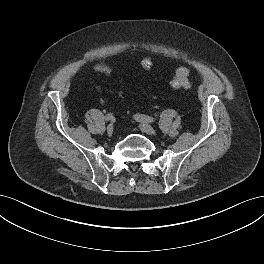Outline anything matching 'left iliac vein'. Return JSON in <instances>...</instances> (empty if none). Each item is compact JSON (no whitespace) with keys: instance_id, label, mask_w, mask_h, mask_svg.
Masks as SVG:
<instances>
[{"instance_id":"left-iliac-vein-1","label":"left iliac vein","mask_w":264,"mask_h":264,"mask_svg":"<svg viewBox=\"0 0 264 264\" xmlns=\"http://www.w3.org/2000/svg\"><path fill=\"white\" fill-rule=\"evenodd\" d=\"M139 128H140L143 132H145V133H147V134H150V135L155 133L154 128H153L150 124H148V123H146V122H140V124H139Z\"/></svg>"}]
</instances>
